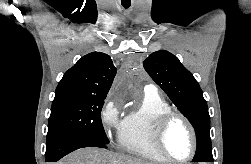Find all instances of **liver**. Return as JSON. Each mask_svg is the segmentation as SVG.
<instances>
[{
	"mask_svg": "<svg viewBox=\"0 0 251 164\" xmlns=\"http://www.w3.org/2000/svg\"><path fill=\"white\" fill-rule=\"evenodd\" d=\"M57 164H155L100 148L79 149Z\"/></svg>",
	"mask_w": 251,
	"mask_h": 164,
	"instance_id": "1",
	"label": "liver"
}]
</instances>
